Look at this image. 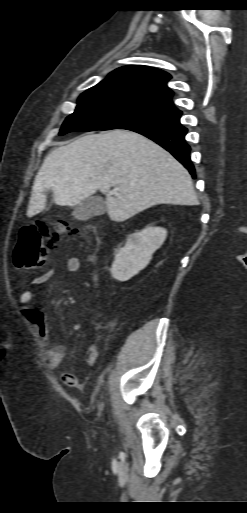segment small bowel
<instances>
[{
  "instance_id": "small-bowel-1",
  "label": "small bowel",
  "mask_w": 247,
  "mask_h": 513,
  "mask_svg": "<svg viewBox=\"0 0 247 513\" xmlns=\"http://www.w3.org/2000/svg\"><path fill=\"white\" fill-rule=\"evenodd\" d=\"M80 259L76 256L67 258L65 268L69 273H76L80 269ZM54 274V268H49L44 273L40 274L32 281V285H40L48 281ZM33 291L31 289L24 290L19 298L18 303L20 310L26 316L27 320L35 327L41 340L48 345L45 362L48 367L55 369L59 367L65 359L66 348L61 344L52 343L50 327L47 317L44 312L32 307L31 301L33 298ZM99 358V350L95 345H90L85 354V363L88 366L96 364ZM63 382L67 386L80 387L83 385L75 375L72 373L63 374Z\"/></svg>"
}]
</instances>
